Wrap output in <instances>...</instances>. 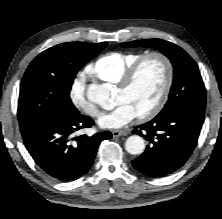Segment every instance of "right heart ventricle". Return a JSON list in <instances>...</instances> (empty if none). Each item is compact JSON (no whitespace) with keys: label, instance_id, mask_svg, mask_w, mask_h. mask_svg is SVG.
Listing matches in <instances>:
<instances>
[{"label":"right heart ventricle","instance_id":"1","mask_svg":"<svg viewBox=\"0 0 222 219\" xmlns=\"http://www.w3.org/2000/svg\"><path fill=\"white\" fill-rule=\"evenodd\" d=\"M142 55L144 52H108L91 63L87 73L106 83L117 84L125 71Z\"/></svg>","mask_w":222,"mask_h":219}]
</instances>
